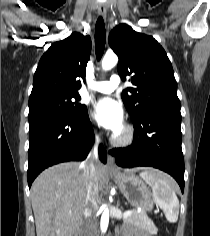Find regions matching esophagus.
Returning a JSON list of instances; mask_svg holds the SVG:
<instances>
[{
	"label": "esophagus",
	"mask_w": 210,
	"mask_h": 236,
	"mask_svg": "<svg viewBox=\"0 0 210 236\" xmlns=\"http://www.w3.org/2000/svg\"><path fill=\"white\" fill-rule=\"evenodd\" d=\"M98 13L100 16H102L103 18L106 17V9L103 5H100L99 8H98ZM107 168L109 170H112V171H116L117 170V167L115 165V161H114V158L113 156L110 154V152L108 151V156H107Z\"/></svg>",
	"instance_id": "esophagus-1"
}]
</instances>
